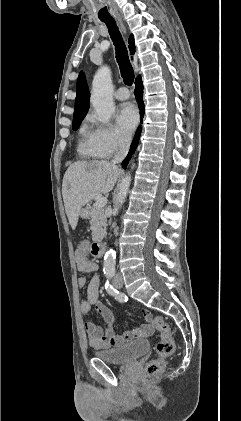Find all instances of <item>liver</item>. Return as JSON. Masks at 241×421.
I'll list each match as a JSON object with an SVG mask.
<instances>
[{
    "instance_id": "6515ba94",
    "label": "liver",
    "mask_w": 241,
    "mask_h": 421,
    "mask_svg": "<svg viewBox=\"0 0 241 421\" xmlns=\"http://www.w3.org/2000/svg\"><path fill=\"white\" fill-rule=\"evenodd\" d=\"M121 170L105 160L79 161L71 164L63 177L62 196L65 211L75 230L83 206L99 194L113 190Z\"/></svg>"
}]
</instances>
